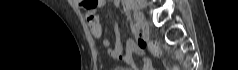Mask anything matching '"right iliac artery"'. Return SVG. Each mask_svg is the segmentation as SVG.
I'll list each match as a JSON object with an SVG mask.
<instances>
[{"mask_svg":"<svg viewBox=\"0 0 238 70\" xmlns=\"http://www.w3.org/2000/svg\"><path fill=\"white\" fill-rule=\"evenodd\" d=\"M132 30H133L134 32L138 31V30H139V25H138V24H133V25H132Z\"/></svg>","mask_w":238,"mask_h":70,"instance_id":"obj_1","label":"right iliac artery"}]
</instances>
